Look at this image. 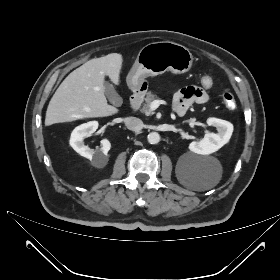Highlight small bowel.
<instances>
[{
    "mask_svg": "<svg viewBox=\"0 0 280 280\" xmlns=\"http://www.w3.org/2000/svg\"><path fill=\"white\" fill-rule=\"evenodd\" d=\"M209 99L207 90L191 86L175 95L173 103L174 110L179 115H183L193 104H205Z\"/></svg>",
    "mask_w": 280,
    "mask_h": 280,
    "instance_id": "obj_1",
    "label": "small bowel"
}]
</instances>
